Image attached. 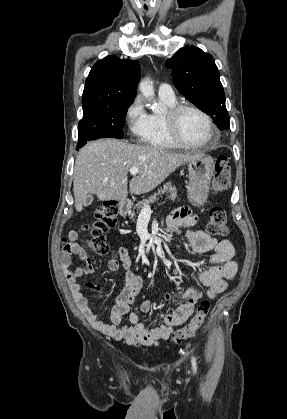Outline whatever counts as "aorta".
<instances>
[{"instance_id": "aorta-1", "label": "aorta", "mask_w": 287, "mask_h": 419, "mask_svg": "<svg viewBox=\"0 0 287 419\" xmlns=\"http://www.w3.org/2000/svg\"><path fill=\"white\" fill-rule=\"evenodd\" d=\"M139 89L142 93V95L145 98L151 99L154 97V87L153 82L149 78H145L140 81L139 83ZM152 111L157 113L160 110V107L157 105L152 106Z\"/></svg>"}]
</instances>
